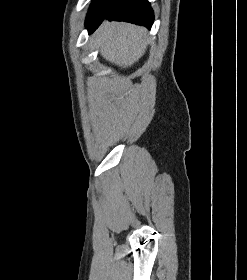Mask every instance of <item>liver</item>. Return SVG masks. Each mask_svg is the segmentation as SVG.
I'll return each instance as SVG.
<instances>
[{
	"mask_svg": "<svg viewBox=\"0 0 247 280\" xmlns=\"http://www.w3.org/2000/svg\"><path fill=\"white\" fill-rule=\"evenodd\" d=\"M95 38L104 59L123 68L137 62L147 47V30L124 22H103Z\"/></svg>",
	"mask_w": 247,
	"mask_h": 280,
	"instance_id": "liver-1",
	"label": "liver"
}]
</instances>
